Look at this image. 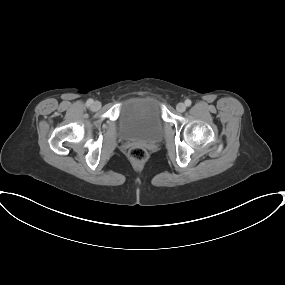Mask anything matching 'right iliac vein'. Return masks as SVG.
Instances as JSON below:
<instances>
[{
  "label": "right iliac vein",
  "instance_id": "63e3f726",
  "mask_svg": "<svg viewBox=\"0 0 285 285\" xmlns=\"http://www.w3.org/2000/svg\"><path fill=\"white\" fill-rule=\"evenodd\" d=\"M100 107H101V104H100L99 101H96V102H94V103L92 104V109H93V110H98V109H100Z\"/></svg>",
  "mask_w": 285,
  "mask_h": 285
}]
</instances>
